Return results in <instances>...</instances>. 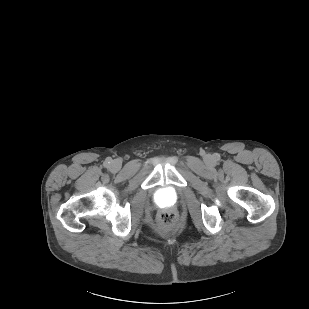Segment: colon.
Wrapping results in <instances>:
<instances>
[{
    "instance_id": "5ec220e1",
    "label": "colon",
    "mask_w": 309,
    "mask_h": 309,
    "mask_svg": "<svg viewBox=\"0 0 309 309\" xmlns=\"http://www.w3.org/2000/svg\"><path fill=\"white\" fill-rule=\"evenodd\" d=\"M176 222V215L171 211H164L158 217V224L163 228H169Z\"/></svg>"
}]
</instances>
